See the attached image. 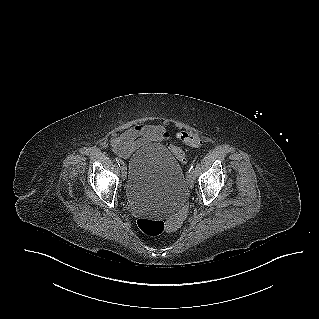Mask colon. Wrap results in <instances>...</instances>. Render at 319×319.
I'll list each match as a JSON object with an SVG mask.
<instances>
[{"mask_svg": "<svg viewBox=\"0 0 319 319\" xmlns=\"http://www.w3.org/2000/svg\"><path fill=\"white\" fill-rule=\"evenodd\" d=\"M177 139L180 144L198 147L203 144L205 134L197 129L189 130L187 128H180L177 131ZM170 150L177 160L185 163L186 153L179 145L172 144ZM137 226L143 234L148 236H158L166 229V224L162 220L147 217L139 218L137 220Z\"/></svg>", "mask_w": 319, "mask_h": 319, "instance_id": "1", "label": "colon"}]
</instances>
